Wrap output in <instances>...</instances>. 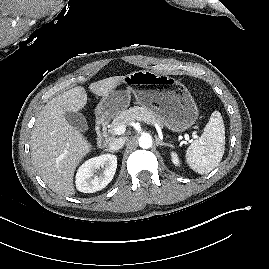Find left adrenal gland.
<instances>
[{"label": "left adrenal gland", "mask_w": 269, "mask_h": 269, "mask_svg": "<svg viewBox=\"0 0 269 269\" xmlns=\"http://www.w3.org/2000/svg\"><path fill=\"white\" fill-rule=\"evenodd\" d=\"M155 139H156V144H157V146H170L171 147V145L170 144H167V143H165V142H162L157 136L155 137Z\"/></svg>", "instance_id": "1"}]
</instances>
